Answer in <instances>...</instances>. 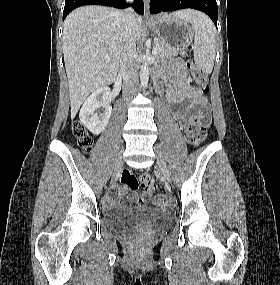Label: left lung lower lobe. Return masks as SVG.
<instances>
[{"label":"left lung lower lobe","mask_w":280,"mask_h":285,"mask_svg":"<svg viewBox=\"0 0 280 285\" xmlns=\"http://www.w3.org/2000/svg\"><path fill=\"white\" fill-rule=\"evenodd\" d=\"M192 8L206 13L217 27L216 0H150V13Z\"/></svg>","instance_id":"obj_1"}]
</instances>
